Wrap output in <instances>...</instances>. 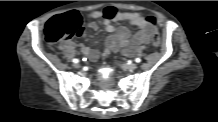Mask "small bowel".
I'll return each instance as SVG.
<instances>
[{
    "instance_id": "obj_1",
    "label": "small bowel",
    "mask_w": 218,
    "mask_h": 122,
    "mask_svg": "<svg viewBox=\"0 0 218 122\" xmlns=\"http://www.w3.org/2000/svg\"><path fill=\"white\" fill-rule=\"evenodd\" d=\"M89 18L92 20L103 18L105 29L111 34L106 40V55L110 51H121L124 55H132L142 45L147 44L155 32L154 26L147 22L145 17L141 14L137 12L117 11L116 8L112 6L91 12ZM119 21H125L136 27L137 32L131 37L126 27L116 29L114 23ZM89 27L92 30L98 29V25L95 21H91ZM69 46H73V44L66 42L61 45V48ZM79 49L90 61H96L99 57V51L95 47L80 44Z\"/></svg>"
}]
</instances>
